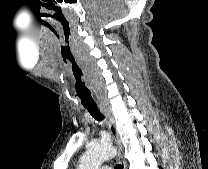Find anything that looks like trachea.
Returning a JSON list of instances; mask_svg holds the SVG:
<instances>
[{
  "instance_id": "obj_1",
  "label": "trachea",
  "mask_w": 208,
  "mask_h": 169,
  "mask_svg": "<svg viewBox=\"0 0 208 169\" xmlns=\"http://www.w3.org/2000/svg\"><path fill=\"white\" fill-rule=\"evenodd\" d=\"M85 109L88 110L90 115L97 121H103L104 120V115L100 112L98 107L96 105L93 106H84ZM115 169H123V166L121 164H117Z\"/></svg>"
}]
</instances>
